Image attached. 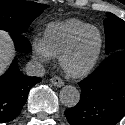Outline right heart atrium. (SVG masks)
I'll return each instance as SVG.
<instances>
[{
    "label": "right heart atrium",
    "instance_id": "1",
    "mask_svg": "<svg viewBox=\"0 0 125 125\" xmlns=\"http://www.w3.org/2000/svg\"><path fill=\"white\" fill-rule=\"evenodd\" d=\"M32 58L38 63H49L54 58L46 46L43 37L34 36L31 39Z\"/></svg>",
    "mask_w": 125,
    "mask_h": 125
}]
</instances>
